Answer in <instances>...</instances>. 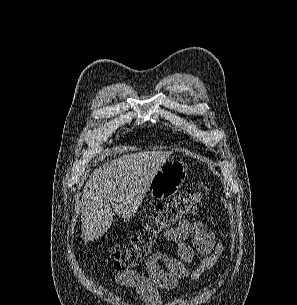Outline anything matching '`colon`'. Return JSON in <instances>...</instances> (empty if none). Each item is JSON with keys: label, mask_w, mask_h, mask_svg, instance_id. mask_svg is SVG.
<instances>
[{"label": "colon", "mask_w": 297, "mask_h": 305, "mask_svg": "<svg viewBox=\"0 0 297 305\" xmlns=\"http://www.w3.org/2000/svg\"><path fill=\"white\" fill-rule=\"evenodd\" d=\"M208 189L206 181L200 180L190 190L158 204L154 212L138 224L135 234L127 244L114 247V268L127 271L139 266L166 229L200 211Z\"/></svg>", "instance_id": "1"}]
</instances>
